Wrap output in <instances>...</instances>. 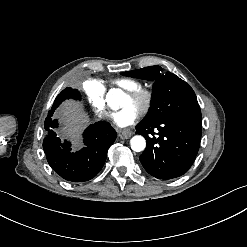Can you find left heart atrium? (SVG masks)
<instances>
[{
	"mask_svg": "<svg viewBox=\"0 0 247 247\" xmlns=\"http://www.w3.org/2000/svg\"><path fill=\"white\" fill-rule=\"evenodd\" d=\"M141 110L136 105H129L122 111L113 115L114 123L117 126L125 127L134 124L140 118Z\"/></svg>",
	"mask_w": 247,
	"mask_h": 247,
	"instance_id": "obj_1",
	"label": "left heart atrium"
}]
</instances>
